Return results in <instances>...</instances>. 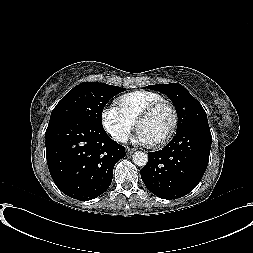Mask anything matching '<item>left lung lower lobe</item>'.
I'll list each match as a JSON object with an SVG mask.
<instances>
[{
    "label": "left lung lower lobe",
    "instance_id": "left-lung-lower-lobe-1",
    "mask_svg": "<svg viewBox=\"0 0 253 253\" xmlns=\"http://www.w3.org/2000/svg\"><path fill=\"white\" fill-rule=\"evenodd\" d=\"M211 144L208 123L193 122L177 129L165 148L148 153V162L141 169L147 189L168 200L191 192L205 173Z\"/></svg>",
    "mask_w": 253,
    "mask_h": 253
}]
</instances>
